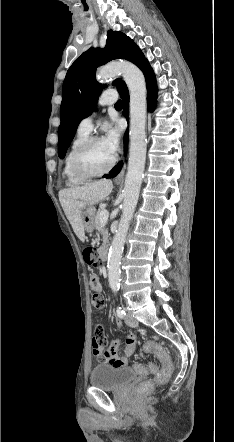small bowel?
<instances>
[{
    "instance_id": "small-bowel-1",
    "label": "small bowel",
    "mask_w": 234,
    "mask_h": 442,
    "mask_svg": "<svg viewBox=\"0 0 234 442\" xmlns=\"http://www.w3.org/2000/svg\"><path fill=\"white\" fill-rule=\"evenodd\" d=\"M95 289L99 292L102 291V285L98 279H97V286L95 287ZM117 326L121 327L120 321H117ZM104 331L105 328L103 323L101 322L96 323V325L93 328L94 337L92 344V352L101 361L99 367L104 370H110L112 369V367L114 369H120L121 366H127L128 358L132 355V353L135 350L136 346L135 337L129 336L126 339L125 349L122 355H119L118 349L122 340L116 339L110 345H108V341L104 336Z\"/></svg>"
}]
</instances>
